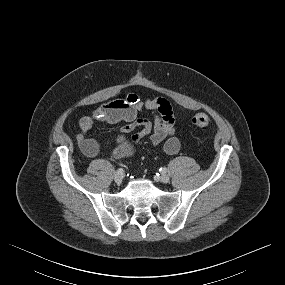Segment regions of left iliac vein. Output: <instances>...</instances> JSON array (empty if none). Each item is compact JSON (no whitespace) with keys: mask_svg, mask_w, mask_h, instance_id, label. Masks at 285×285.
I'll list each match as a JSON object with an SVG mask.
<instances>
[{"mask_svg":"<svg viewBox=\"0 0 285 285\" xmlns=\"http://www.w3.org/2000/svg\"><path fill=\"white\" fill-rule=\"evenodd\" d=\"M159 179H160V181L163 182V183H168L169 180H170V177H169L167 174L163 173V174H161V176L159 177Z\"/></svg>","mask_w":285,"mask_h":285,"instance_id":"1","label":"left iliac vein"}]
</instances>
